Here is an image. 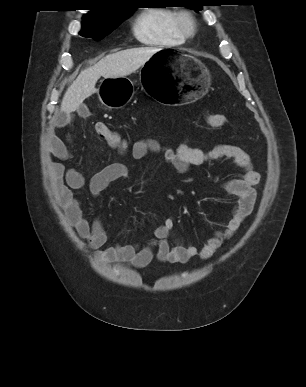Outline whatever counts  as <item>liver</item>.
<instances>
[{
	"instance_id": "liver-1",
	"label": "liver",
	"mask_w": 306,
	"mask_h": 387,
	"mask_svg": "<svg viewBox=\"0 0 306 387\" xmlns=\"http://www.w3.org/2000/svg\"><path fill=\"white\" fill-rule=\"evenodd\" d=\"M158 51L159 49L151 47L126 49L109 54L95 65L84 69L64 94L61 111L71 113L79 109L86 98L98 91L95 85L101 76L116 79L130 75Z\"/></svg>"
}]
</instances>
